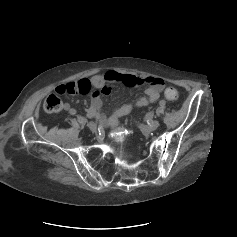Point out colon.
Here are the masks:
<instances>
[{"label":"colon","instance_id":"1","mask_svg":"<svg viewBox=\"0 0 237 237\" xmlns=\"http://www.w3.org/2000/svg\"><path fill=\"white\" fill-rule=\"evenodd\" d=\"M164 95L166 99L170 102H176L179 98V91L174 87H168L165 89ZM62 104L61 100L55 94H50L45 102L44 109L48 113H57L61 110Z\"/></svg>","mask_w":237,"mask_h":237}]
</instances>
